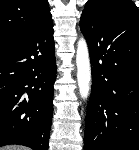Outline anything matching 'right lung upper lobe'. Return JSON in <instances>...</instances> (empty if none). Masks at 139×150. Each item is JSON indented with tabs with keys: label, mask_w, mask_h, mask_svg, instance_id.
I'll return each mask as SVG.
<instances>
[{
	"label": "right lung upper lobe",
	"mask_w": 139,
	"mask_h": 150,
	"mask_svg": "<svg viewBox=\"0 0 139 150\" xmlns=\"http://www.w3.org/2000/svg\"><path fill=\"white\" fill-rule=\"evenodd\" d=\"M49 17L47 0H0V44L33 32Z\"/></svg>",
	"instance_id": "1"
}]
</instances>
